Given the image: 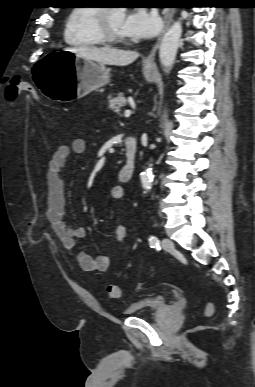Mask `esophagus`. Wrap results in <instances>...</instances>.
<instances>
[{"instance_id": "esophagus-1", "label": "esophagus", "mask_w": 255, "mask_h": 387, "mask_svg": "<svg viewBox=\"0 0 255 387\" xmlns=\"http://www.w3.org/2000/svg\"><path fill=\"white\" fill-rule=\"evenodd\" d=\"M174 13H175V10L173 8H166V9H164V11H163V14H164V28H163L162 34L167 30V28L169 27L170 23L172 22V18H173ZM160 40H161V35L158 38L156 44L153 46V48L150 51V53L148 54V56L144 59V64L150 65V64L153 63L156 51H157V49L159 47Z\"/></svg>"}]
</instances>
